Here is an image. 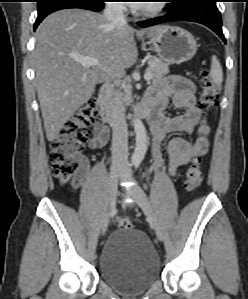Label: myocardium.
<instances>
[{"label": "myocardium", "mask_w": 248, "mask_h": 299, "mask_svg": "<svg viewBox=\"0 0 248 299\" xmlns=\"http://www.w3.org/2000/svg\"><path fill=\"white\" fill-rule=\"evenodd\" d=\"M166 8V3L162 0H158L154 3H149L141 9V14L146 17H156L161 14Z\"/></svg>", "instance_id": "myocardium-1"}]
</instances>
